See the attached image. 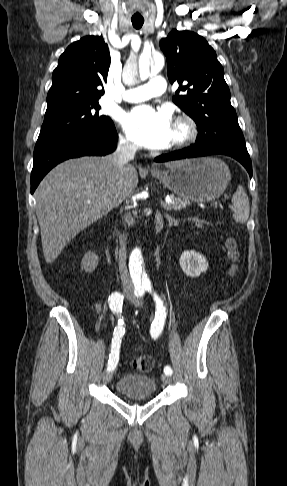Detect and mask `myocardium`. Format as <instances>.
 Masks as SVG:
<instances>
[{"mask_svg": "<svg viewBox=\"0 0 287 486\" xmlns=\"http://www.w3.org/2000/svg\"><path fill=\"white\" fill-rule=\"evenodd\" d=\"M175 126L180 129V134L171 141V148H184L196 140L198 129L191 117L187 115L178 116L175 120Z\"/></svg>", "mask_w": 287, "mask_h": 486, "instance_id": "myocardium-1", "label": "myocardium"}]
</instances>
